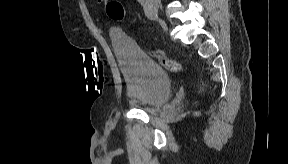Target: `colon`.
I'll return each mask as SVG.
<instances>
[{
  "instance_id": "5ec220e1",
  "label": "colon",
  "mask_w": 288,
  "mask_h": 164,
  "mask_svg": "<svg viewBox=\"0 0 288 164\" xmlns=\"http://www.w3.org/2000/svg\"><path fill=\"white\" fill-rule=\"evenodd\" d=\"M107 12L111 19H123L124 17V10L122 8V5L118 1H114L113 3H111L108 6ZM149 54L153 59L161 62L166 68H168L172 72H180L183 70V66L181 63L173 59L167 58L159 51L152 50Z\"/></svg>"
}]
</instances>
